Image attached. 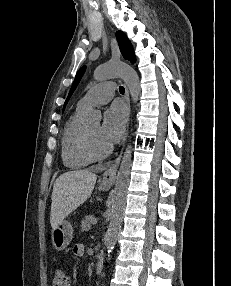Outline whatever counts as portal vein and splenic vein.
<instances>
[{
	"label": "portal vein and splenic vein",
	"instance_id": "1",
	"mask_svg": "<svg viewBox=\"0 0 231 286\" xmlns=\"http://www.w3.org/2000/svg\"><path fill=\"white\" fill-rule=\"evenodd\" d=\"M96 223H97V218L94 217V218L92 219V224H96Z\"/></svg>",
	"mask_w": 231,
	"mask_h": 286
}]
</instances>
